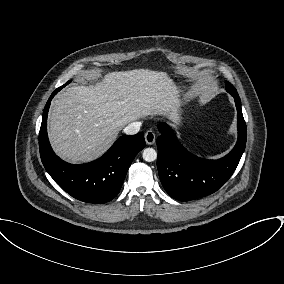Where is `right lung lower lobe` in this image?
<instances>
[{"instance_id": "1", "label": "right lung lower lobe", "mask_w": 284, "mask_h": 284, "mask_svg": "<svg viewBox=\"0 0 284 284\" xmlns=\"http://www.w3.org/2000/svg\"><path fill=\"white\" fill-rule=\"evenodd\" d=\"M54 91L47 101L39 132L42 163L53 180L69 195L87 203L102 204L119 193L128 168L145 147L144 133L121 136L99 159L81 165L62 161L53 152L47 136V115Z\"/></svg>"}]
</instances>
